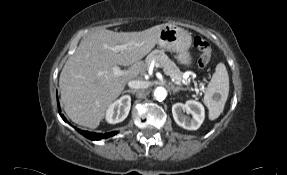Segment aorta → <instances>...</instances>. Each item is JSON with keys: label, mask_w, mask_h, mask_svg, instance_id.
I'll list each match as a JSON object with an SVG mask.
<instances>
[{"label": "aorta", "mask_w": 287, "mask_h": 175, "mask_svg": "<svg viewBox=\"0 0 287 175\" xmlns=\"http://www.w3.org/2000/svg\"><path fill=\"white\" fill-rule=\"evenodd\" d=\"M167 96V90L164 87H157L154 90V97L158 100V101H163Z\"/></svg>", "instance_id": "1"}]
</instances>
